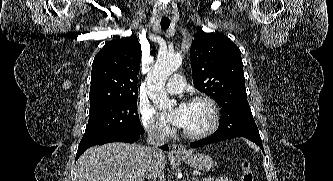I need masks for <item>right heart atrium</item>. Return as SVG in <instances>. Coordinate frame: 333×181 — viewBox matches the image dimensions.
I'll use <instances>...</instances> for the list:
<instances>
[{
	"mask_svg": "<svg viewBox=\"0 0 333 181\" xmlns=\"http://www.w3.org/2000/svg\"><path fill=\"white\" fill-rule=\"evenodd\" d=\"M138 113L143 127L150 135L165 137L170 133L169 127L156 116L155 111L150 106L140 104Z\"/></svg>",
	"mask_w": 333,
	"mask_h": 181,
	"instance_id": "1",
	"label": "right heart atrium"
}]
</instances>
